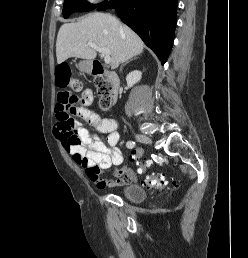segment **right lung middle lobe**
<instances>
[{"label": "right lung middle lobe", "mask_w": 248, "mask_h": 258, "mask_svg": "<svg viewBox=\"0 0 248 258\" xmlns=\"http://www.w3.org/2000/svg\"><path fill=\"white\" fill-rule=\"evenodd\" d=\"M104 3L106 2H103L98 5H93L87 2V0H64L63 16L64 18H68L69 15H71L74 12L91 11Z\"/></svg>", "instance_id": "dd1d6c3e"}]
</instances>
